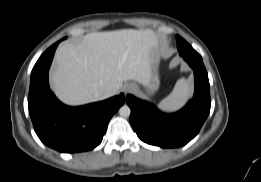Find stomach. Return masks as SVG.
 Listing matches in <instances>:
<instances>
[{
  "label": "stomach",
  "instance_id": "0dacf381",
  "mask_svg": "<svg viewBox=\"0 0 261 182\" xmlns=\"http://www.w3.org/2000/svg\"><path fill=\"white\" fill-rule=\"evenodd\" d=\"M151 67H152V77L148 85L144 86L147 95H153L159 88V76H158V66L160 62V53L158 48H154L151 51ZM139 91V89H138Z\"/></svg>",
  "mask_w": 261,
  "mask_h": 182
}]
</instances>
